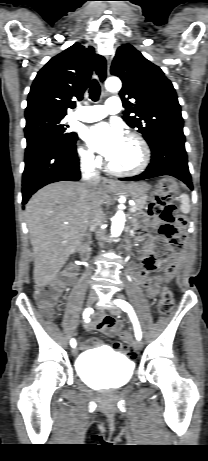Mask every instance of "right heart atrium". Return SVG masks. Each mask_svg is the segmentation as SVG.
<instances>
[{
  "instance_id": "d8ad5b80",
  "label": "right heart atrium",
  "mask_w": 208,
  "mask_h": 461,
  "mask_svg": "<svg viewBox=\"0 0 208 461\" xmlns=\"http://www.w3.org/2000/svg\"><path fill=\"white\" fill-rule=\"evenodd\" d=\"M79 159L83 166L95 168L99 164V158L88 148L81 147L78 150Z\"/></svg>"
}]
</instances>
